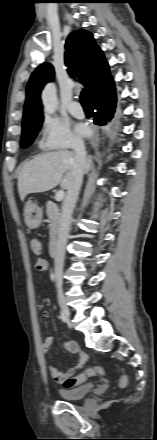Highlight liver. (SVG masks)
<instances>
[{
    "mask_svg": "<svg viewBox=\"0 0 157 440\" xmlns=\"http://www.w3.org/2000/svg\"><path fill=\"white\" fill-rule=\"evenodd\" d=\"M92 157L86 156L83 173H88ZM75 153L64 150L47 152L23 163L18 173L20 199L31 193L46 192L60 184L68 190L73 179Z\"/></svg>",
    "mask_w": 157,
    "mask_h": 440,
    "instance_id": "liver-1",
    "label": "liver"
}]
</instances>
